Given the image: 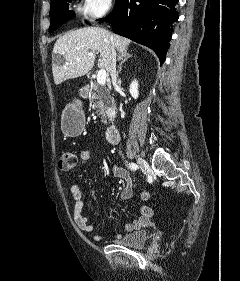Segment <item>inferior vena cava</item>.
Returning a JSON list of instances; mask_svg holds the SVG:
<instances>
[{
    "mask_svg": "<svg viewBox=\"0 0 240 281\" xmlns=\"http://www.w3.org/2000/svg\"><path fill=\"white\" fill-rule=\"evenodd\" d=\"M111 78H112V83H113V86L115 88L118 87V84H117V73H116V51L115 50H112L111 51Z\"/></svg>",
    "mask_w": 240,
    "mask_h": 281,
    "instance_id": "1",
    "label": "inferior vena cava"
}]
</instances>
